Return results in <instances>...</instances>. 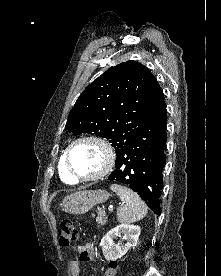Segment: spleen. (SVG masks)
<instances>
[{"label": "spleen", "instance_id": "spleen-1", "mask_svg": "<svg viewBox=\"0 0 221 276\" xmlns=\"http://www.w3.org/2000/svg\"><path fill=\"white\" fill-rule=\"evenodd\" d=\"M110 189L116 192L124 206L117 209V220L120 223H132L143 219L147 214V207L138 194L127 187L112 184Z\"/></svg>", "mask_w": 221, "mask_h": 276}]
</instances>
